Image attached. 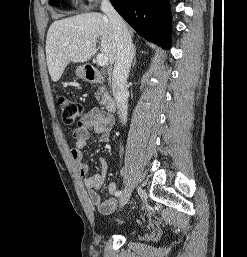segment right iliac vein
Segmentation results:
<instances>
[{"mask_svg":"<svg viewBox=\"0 0 247 257\" xmlns=\"http://www.w3.org/2000/svg\"><path fill=\"white\" fill-rule=\"evenodd\" d=\"M132 186H128L120 196V207H123L130 199Z\"/></svg>","mask_w":247,"mask_h":257,"instance_id":"1","label":"right iliac vein"}]
</instances>
